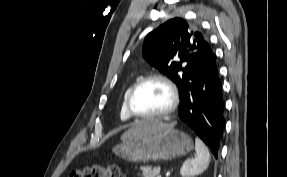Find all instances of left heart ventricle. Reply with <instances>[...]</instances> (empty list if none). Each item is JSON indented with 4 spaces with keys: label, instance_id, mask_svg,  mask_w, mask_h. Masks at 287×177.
Segmentation results:
<instances>
[{
    "label": "left heart ventricle",
    "instance_id": "left-heart-ventricle-1",
    "mask_svg": "<svg viewBox=\"0 0 287 177\" xmlns=\"http://www.w3.org/2000/svg\"><path fill=\"white\" fill-rule=\"evenodd\" d=\"M170 104L166 86L158 81L142 85L132 99L133 109L139 114H156L164 111Z\"/></svg>",
    "mask_w": 287,
    "mask_h": 177
}]
</instances>
